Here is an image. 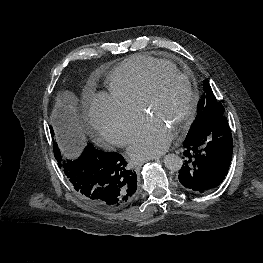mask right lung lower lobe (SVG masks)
<instances>
[{
  "instance_id": "right-lung-lower-lobe-1",
  "label": "right lung lower lobe",
  "mask_w": 263,
  "mask_h": 263,
  "mask_svg": "<svg viewBox=\"0 0 263 263\" xmlns=\"http://www.w3.org/2000/svg\"><path fill=\"white\" fill-rule=\"evenodd\" d=\"M64 173L81 197L99 208L114 210L128 205L137 189V175L122 155L87 146L69 160Z\"/></svg>"
}]
</instances>
